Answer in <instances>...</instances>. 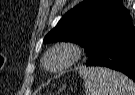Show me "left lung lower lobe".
Masks as SVG:
<instances>
[{
  "label": "left lung lower lobe",
  "instance_id": "1",
  "mask_svg": "<svg viewBox=\"0 0 135 95\" xmlns=\"http://www.w3.org/2000/svg\"><path fill=\"white\" fill-rule=\"evenodd\" d=\"M88 58L87 66H102L120 71L135 82V28L130 25L106 36Z\"/></svg>",
  "mask_w": 135,
  "mask_h": 95
}]
</instances>
